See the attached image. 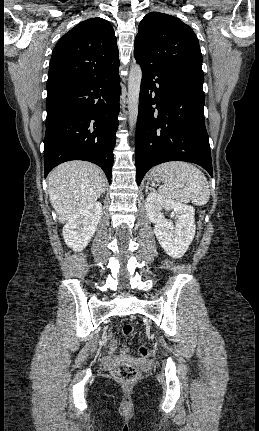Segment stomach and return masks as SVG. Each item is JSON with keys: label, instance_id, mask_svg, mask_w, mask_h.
Returning <instances> with one entry per match:
<instances>
[{"label": "stomach", "instance_id": "obj_1", "mask_svg": "<svg viewBox=\"0 0 259 431\" xmlns=\"http://www.w3.org/2000/svg\"><path fill=\"white\" fill-rule=\"evenodd\" d=\"M148 179H149L150 181H152V182H154V181H159V177H158V176H154V175H152L151 173H150V175H149Z\"/></svg>", "mask_w": 259, "mask_h": 431}]
</instances>
